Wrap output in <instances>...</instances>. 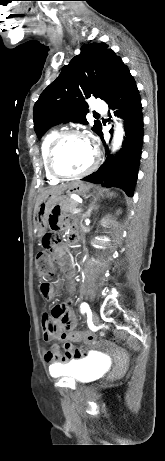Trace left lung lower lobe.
<instances>
[{"mask_svg":"<svg viewBox=\"0 0 165 461\" xmlns=\"http://www.w3.org/2000/svg\"><path fill=\"white\" fill-rule=\"evenodd\" d=\"M105 102L115 116L124 119L125 137L122 148L115 156H108L104 164L82 180L100 183L106 187H119L133 196L143 144V113L141 99L134 78L125 70ZM105 144L102 129L98 133ZM107 149V146H106Z\"/></svg>","mask_w":165,"mask_h":461,"instance_id":"0a47b994","label":"left lung lower lobe"}]
</instances>
